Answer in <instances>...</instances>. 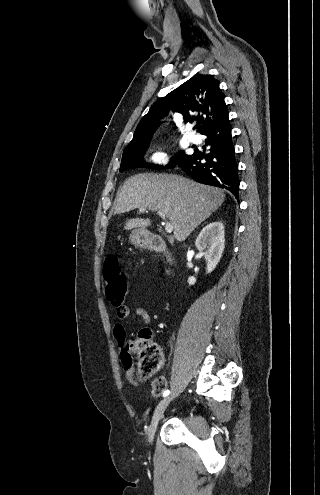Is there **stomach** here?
Instances as JSON below:
<instances>
[{"label": "stomach", "instance_id": "stomach-1", "mask_svg": "<svg viewBox=\"0 0 320 495\" xmlns=\"http://www.w3.org/2000/svg\"><path fill=\"white\" fill-rule=\"evenodd\" d=\"M130 241L135 246L143 247L148 244V237L145 231L135 230L130 234Z\"/></svg>", "mask_w": 320, "mask_h": 495}]
</instances>
